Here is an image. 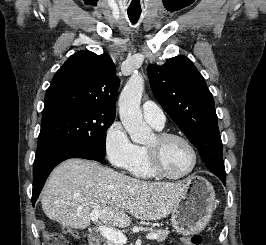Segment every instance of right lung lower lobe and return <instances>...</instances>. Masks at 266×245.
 I'll return each mask as SVG.
<instances>
[{
    "label": "right lung lower lobe",
    "mask_w": 266,
    "mask_h": 245,
    "mask_svg": "<svg viewBox=\"0 0 266 245\" xmlns=\"http://www.w3.org/2000/svg\"><path fill=\"white\" fill-rule=\"evenodd\" d=\"M69 158H84L95 160L100 163H102L104 159L90 150L64 144L55 145L38 151L33 165V207L51 171L59 163Z\"/></svg>",
    "instance_id": "obj_1"
}]
</instances>
